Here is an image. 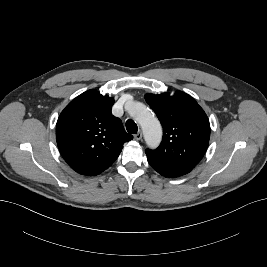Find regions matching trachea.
I'll return each mask as SVG.
<instances>
[{
	"instance_id": "1",
	"label": "trachea",
	"mask_w": 267,
	"mask_h": 267,
	"mask_svg": "<svg viewBox=\"0 0 267 267\" xmlns=\"http://www.w3.org/2000/svg\"><path fill=\"white\" fill-rule=\"evenodd\" d=\"M126 129L131 134H135L138 131V127L132 119H128L126 121Z\"/></svg>"
}]
</instances>
